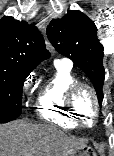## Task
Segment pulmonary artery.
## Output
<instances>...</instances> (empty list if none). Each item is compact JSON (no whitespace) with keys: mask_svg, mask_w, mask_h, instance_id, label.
Listing matches in <instances>:
<instances>
[{"mask_svg":"<svg viewBox=\"0 0 114 156\" xmlns=\"http://www.w3.org/2000/svg\"><path fill=\"white\" fill-rule=\"evenodd\" d=\"M55 63H62V64H65V65H68V66H71V61L69 59H66V58H63V59H57L55 61Z\"/></svg>","mask_w":114,"mask_h":156,"instance_id":"e3ab8cb5","label":"pulmonary artery"}]
</instances>
